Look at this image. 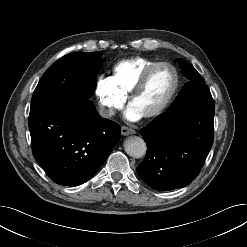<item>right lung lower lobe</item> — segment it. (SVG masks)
Instances as JSON below:
<instances>
[{
    "label": "right lung lower lobe",
    "mask_w": 247,
    "mask_h": 247,
    "mask_svg": "<svg viewBox=\"0 0 247 247\" xmlns=\"http://www.w3.org/2000/svg\"><path fill=\"white\" fill-rule=\"evenodd\" d=\"M32 151L57 184L78 186L98 171L120 140V126L103 119L91 101L51 100L30 111Z\"/></svg>",
    "instance_id": "98d812e1"
}]
</instances>
